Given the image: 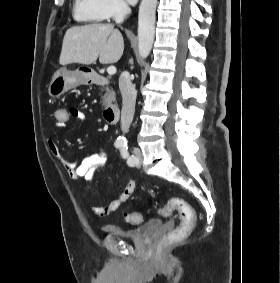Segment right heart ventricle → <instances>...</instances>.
Masks as SVG:
<instances>
[{"mask_svg":"<svg viewBox=\"0 0 280 283\" xmlns=\"http://www.w3.org/2000/svg\"><path fill=\"white\" fill-rule=\"evenodd\" d=\"M73 15L79 22L97 23L104 20L96 9V0H74Z\"/></svg>","mask_w":280,"mask_h":283,"instance_id":"obj_1","label":"right heart ventricle"}]
</instances>
